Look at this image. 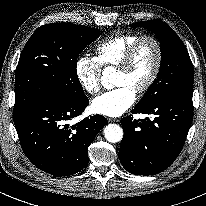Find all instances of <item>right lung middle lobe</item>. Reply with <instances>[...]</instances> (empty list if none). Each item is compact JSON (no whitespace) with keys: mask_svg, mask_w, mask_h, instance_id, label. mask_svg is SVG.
<instances>
[{"mask_svg":"<svg viewBox=\"0 0 206 206\" xmlns=\"http://www.w3.org/2000/svg\"><path fill=\"white\" fill-rule=\"evenodd\" d=\"M99 35L98 29L73 23H51L39 27L19 58L14 110L44 97L71 100L84 97L76 60Z\"/></svg>","mask_w":206,"mask_h":206,"instance_id":"right-lung-middle-lobe-1","label":"right lung middle lobe"}]
</instances>
